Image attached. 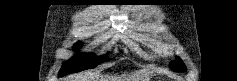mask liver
Listing matches in <instances>:
<instances>
[{
    "mask_svg": "<svg viewBox=\"0 0 237 81\" xmlns=\"http://www.w3.org/2000/svg\"><path fill=\"white\" fill-rule=\"evenodd\" d=\"M117 77H103L100 73L71 76L66 81H118Z\"/></svg>",
    "mask_w": 237,
    "mask_h": 81,
    "instance_id": "6515ba94",
    "label": "liver"
}]
</instances>
